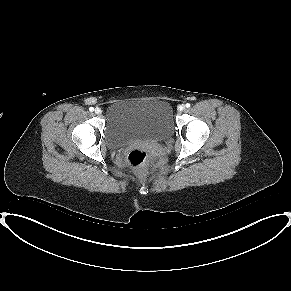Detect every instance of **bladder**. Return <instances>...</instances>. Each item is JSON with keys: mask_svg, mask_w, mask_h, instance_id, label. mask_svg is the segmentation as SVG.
Segmentation results:
<instances>
[{"mask_svg": "<svg viewBox=\"0 0 291 291\" xmlns=\"http://www.w3.org/2000/svg\"><path fill=\"white\" fill-rule=\"evenodd\" d=\"M174 118L170 103L164 99H129L108 105L105 135L110 148L143 138L157 140L171 134Z\"/></svg>", "mask_w": 291, "mask_h": 291, "instance_id": "obj_1", "label": "bladder"}]
</instances>
